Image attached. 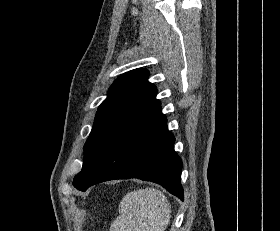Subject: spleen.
Here are the masks:
<instances>
[{"instance_id":"obj_1","label":"spleen","mask_w":280,"mask_h":231,"mask_svg":"<svg viewBox=\"0 0 280 231\" xmlns=\"http://www.w3.org/2000/svg\"><path fill=\"white\" fill-rule=\"evenodd\" d=\"M119 213L110 231H165L171 205L160 189L146 187L126 193L120 201Z\"/></svg>"}]
</instances>
